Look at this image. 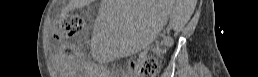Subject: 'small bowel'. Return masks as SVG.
Segmentation results:
<instances>
[{
  "label": "small bowel",
  "mask_w": 258,
  "mask_h": 77,
  "mask_svg": "<svg viewBox=\"0 0 258 77\" xmlns=\"http://www.w3.org/2000/svg\"><path fill=\"white\" fill-rule=\"evenodd\" d=\"M67 62L69 64V68L70 69H75V64L72 62V60L70 58H67Z\"/></svg>",
  "instance_id": "c3829d8e"
}]
</instances>
